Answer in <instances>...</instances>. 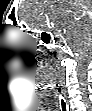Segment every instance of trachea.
<instances>
[{"instance_id":"obj_1","label":"trachea","mask_w":92,"mask_h":111,"mask_svg":"<svg viewBox=\"0 0 92 111\" xmlns=\"http://www.w3.org/2000/svg\"><path fill=\"white\" fill-rule=\"evenodd\" d=\"M63 107H64V108H63V111H67V110H66V106H65L64 104H63Z\"/></svg>"}]
</instances>
